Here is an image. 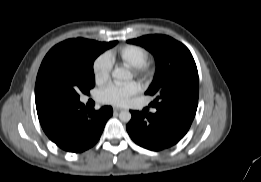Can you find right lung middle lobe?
Here are the masks:
<instances>
[{"instance_id": "right-lung-middle-lobe-1", "label": "right lung middle lobe", "mask_w": 261, "mask_h": 182, "mask_svg": "<svg viewBox=\"0 0 261 182\" xmlns=\"http://www.w3.org/2000/svg\"><path fill=\"white\" fill-rule=\"evenodd\" d=\"M117 41L57 44L43 59L38 71L35 95L54 106L77 103L79 94H89L95 85L93 62Z\"/></svg>"}]
</instances>
